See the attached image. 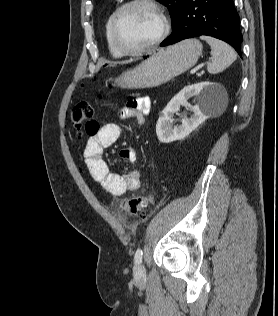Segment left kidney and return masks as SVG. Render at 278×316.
Listing matches in <instances>:
<instances>
[{
  "label": "left kidney",
  "instance_id": "1",
  "mask_svg": "<svg viewBox=\"0 0 278 316\" xmlns=\"http://www.w3.org/2000/svg\"><path fill=\"white\" fill-rule=\"evenodd\" d=\"M225 96L222 85L215 82H201L184 87L175 95L159 117L156 124V134L162 143H170L188 136L203 123ZM195 97L197 104L190 106L193 115L182 119L179 126L172 128L173 116L179 111L180 105H188L187 100Z\"/></svg>",
  "mask_w": 278,
  "mask_h": 316
}]
</instances>
